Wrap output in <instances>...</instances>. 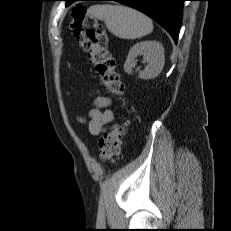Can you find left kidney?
Listing matches in <instances>:
<instances>
[{
    "label": "left kidney",
    "mask_w": 231,
    "mask_h": 231,
    "mask_svg": "<svg viewBox=\"0 0 231 231\" xmlns=\"http://www.w3.org/2000/svg\"><path fill=\"white\" fill-rule=\"evenodd\" d=\"M143 54L148 63L143 71L139 73L141 79L157 77L162 71L165 63L163 45L157 41H142L136 43L129 51L124 63V71L132 74L133 64L138 55Z\"/></svg>",
    "instance_id": "1"
}]
</instances>
